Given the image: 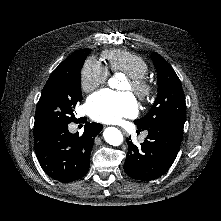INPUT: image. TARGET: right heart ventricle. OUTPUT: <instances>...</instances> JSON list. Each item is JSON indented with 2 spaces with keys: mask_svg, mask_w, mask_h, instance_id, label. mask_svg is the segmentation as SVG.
<instances>
[{
  "mask_svg": "<svg viewBox=\"0 0 221 221\" xmlns=\"http://www.w3.org/2000/svg\"><path fill=\"white\" fill-rule=\"evenodd\" d=\"M112 73H123L127 77H146L149 72L147 62L139 55L126 50H108L103 54Z\"/></svg>",
  "mask_w": 221,
  "mask_h": 221,
  "instance_id": "obj_1",
  "label": "right heart ventricle"
}]
</instances>
